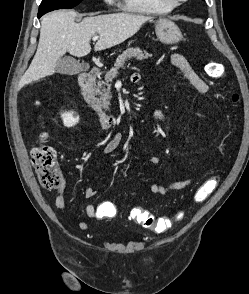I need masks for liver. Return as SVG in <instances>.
I'll return each mask as SVG.
<instances>
[{
    "instance_id": "6515ba94",
    "label": "liver",
    "mask_w": 249,
    "mask_h": 294,
    "mask_svg": "<svg viewBox=\"0 0 249 294\" xmlns=\"http://www.w3.org/2000/svg\"><path fill=\"white\" fill-rule=\"evenodd\" d=\"M75 11H54L43 17L36 54L20 80L19 87L53 75L58 60L66 53L83 57L90 53V40L99 39L95 51L111 48L136 34L151 18L129 13H113L86 17L75 22Z\"/></svg>"
}]
</instances>
